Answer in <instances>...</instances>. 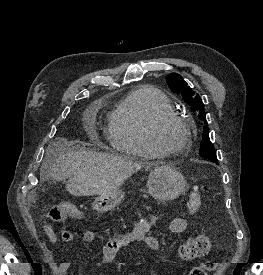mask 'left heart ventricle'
Here are the masks:
<instances>
[{"label":"left heart ventricle","mask_w":263,"mask_h":275,"mask_svg":"<svg viewBox=\"0 0 263 275\" xmlns=\"http://www.w3.org/2000/svg\"><path fill=\"white\" fill-rule=\"evenodd\" d=\"M185 129L177 122H168L158 131V138L161 144L166 147H176L185 139Z\"/></svg>","instance_id":"obj_1"}]
</instances>
